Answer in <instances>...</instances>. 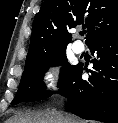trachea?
Wrapping results in <instances>:
<instances>
[{
	"label": "trachea",
	"instance_id": "trachea-1",
	"mask_svg": "<svg viewBox=\"0 0 118 123\" xmlns=\"http://www.w3.org/2000/svg\"><path fill=\"white\" fill-rule=\"evenodd\" d=\"M80 34L83 36L84 34H86V32L85 31H82V32H80Z\"/></svg>",
	"mask_w": 118,
	"mask_h": 123
}]
</instances>
